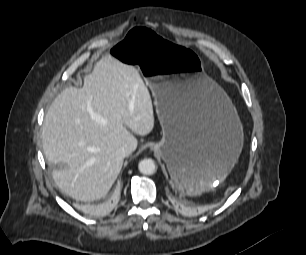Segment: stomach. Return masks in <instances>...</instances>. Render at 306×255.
I'll use <instances>...</instances> for the list:
<instances>
[{
  "instance_id": "obj_1",
  "label": "stomach",
  "mask_w": 306,
  "mask_h": 255,
  "mask_svg": "<svg viewBox=\"0 0 306 255\" xmlns=\"http://www.w3.org/2000/svg\"><path fill=\"white\" fill-rule=\"evenodd\" d=\"M111 50L135 64L151 89L162 139L152 146L175 186L195 195L222 182L243 147V128L225 91L204 72L199 55L157 30L131 25Z\"/></svg>"
}]
</instances>
